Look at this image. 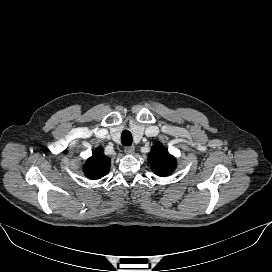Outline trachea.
<instances>
[{
	"label": "trachea",
	"mask_w": 272,
	"mask_h": 272,
	"mask_svg": "<svg viewBox=\"0 0 272 272\" xmlns=\"http://www.w3.org/2000/svg\"><path fill=\"white\" fill-rule=\"evenodd\" d=\"M121 142L124 146H130L132 144V134L128 130H124L121 134Z\"/></svg>",
	"instance_id": "3493384b"
}]
</instances>
